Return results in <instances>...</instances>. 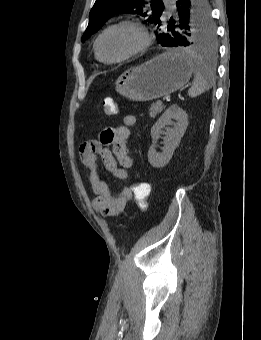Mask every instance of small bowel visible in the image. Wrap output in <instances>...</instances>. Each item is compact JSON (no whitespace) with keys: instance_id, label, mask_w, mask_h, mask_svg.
<instances>
[{"instance_id":"1","label":"small bowel","mask_w":261,"mask_h":340,"mask_svg":"<svg viewBox=\"0 0 261 340\" xmlns=\"http://www.w3.org/2000/svg\"><path fill=\"white\" fill-rule=\"evenodd\" d=\"M136 123L134 115H126L123 123L116 127L105 128L98 139L83 142L79 147V158L89 172V181L95 195L93 208L106 217H116L123 213L132 200V187H123L113 193L108 183L99 175L97 161L100 159L107 171L124 181L131 179L129 170L133 161L128 154L126 140L129 128Z\"/></svg>"}]
</instances>
